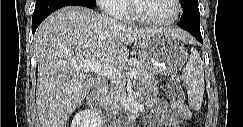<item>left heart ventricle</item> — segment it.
Segmentation results:
<instances>
[{"instance_id":"obj_1","label":"left heart ventricle","mask_w":243,"mask_h":127,"mask_svg":"<svg viewBox=\"0 0 243 127\" xmlns=\"http://www.w3.org/2000/svg\"><path fill=\"white\" fill-rule=\"evenodd\" d=\"M137 4L143 16L154 20L169 19L175 12L172 0H138Z\"/></svg>"}]
</instances>
